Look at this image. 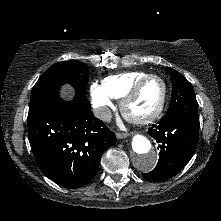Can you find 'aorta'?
Listing matches in <instances>:
<instances>
[{"label": "aorta", "mask_w": 221, "mask_h": 221, "mask_svg": "<svg viewBox=\"0 0 221 221\" xmlns=\"http://www.w3.org/2000/svg\"><path fill=\"white\" fill-rule=\"evenodd\" d=\"M132 161L140 171H151L157 163V153L150 141L142 134H135L131 140Z\"/></svg>", "instance_id": "aorta-1"}]
</instances>
